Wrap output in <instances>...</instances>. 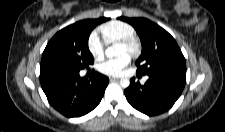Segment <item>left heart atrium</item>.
<instances>
[{"label": "left heart atrium", "mask_w": 225, "mask_h": 132, "mask_svg": "<svg viewBox=\"0 0 225 132\" xmlns=\"http://www.w3.org/2000/svg\"><path fill=\"white\" fill-rule=\"evenodd\" d=\"M130 63L128 54L119 55L116 58L108 59L98 65V69L102 74L108 76H119Z\"/></svg>", "instance_id": "obj_1"}]
</instances>
